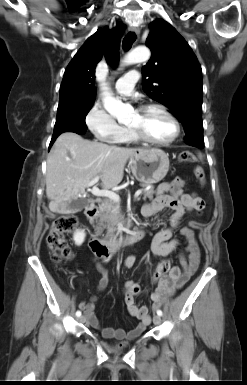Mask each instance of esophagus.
I'll use <instances>...</instances> for the list:
<instances>
[{
	"mask_svg": "<svg viewBox=\"0 0 247 385\" xmlns=\"http://www.w3.org/2000/svg\"><path fill=\"white\" fill-rule=\"evenodd\" d=\"M129 30H130L131 32H134L136 35H139V34H140V28H139V27L131 26V27H129Z\"/></svg>",
	"mask_w": 247,
	"mask_h": 385,
	"instance_id": "34e87169",
	"label": "esophagus"
}]
</instances>
